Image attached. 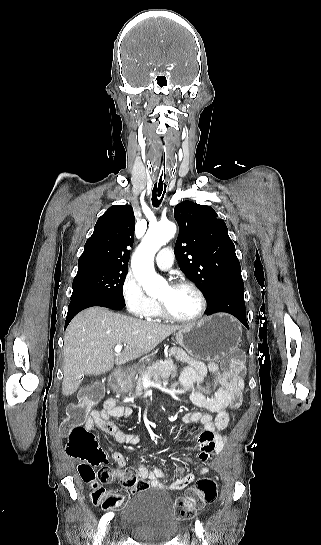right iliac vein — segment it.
I'll use <instances>...</instances> for the list:
<instances>
[{
  "label": "right iliac vein",
  "instance_id": "63e3f726",
  "mask_svg": "<svg viewBox=\"0 0 321 545\" xmlns=\"http://www.w3.org/2000/svg\"><path fill=\"white\" fill-rule=\"evenodd\" d=\"M109 529L110 527L107 525L106 529H105V532H104V538L106 539L109 535Z\"/></svg>",
  "mask_w": 321,
  "mask_h": 545
}]
</instances>
